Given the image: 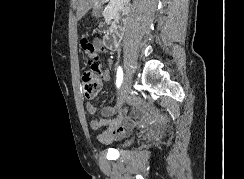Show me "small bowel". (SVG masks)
I'll return each mask as SVG.
<instances>
[{
  "instance_id": "obj_1",
  "label": "small bowel",
  "mask_w": 244,
  "mask_h": 179,
  "mask_svg": "<svg viewBox=\"0 0 244 179\" xmlns=\"http://www.w3.org/2000/svg\"><path fill=\"white\" fill-rule=\"evenodd\" d=\"M81 46L93 64L98 62L102 54L109 55L113 50V48L108 47L98 36L94 37L91 41L87 38H83ZM101 78L103 81L110 80L111 72L109 67L105 66L102 68ZM86 111L89 114L94 115L97 113V108L92 103H87ZM103 114L105 116H115V118H102L100 120H95L92 122V127L95 129L106 127V131L100 134L99 139L102 142L108 143L121 138L128 132V130L138 121L140 110H137L133 116H130L126 111L108 107L103 110Z\"/></svg>"
}]
</instances>
